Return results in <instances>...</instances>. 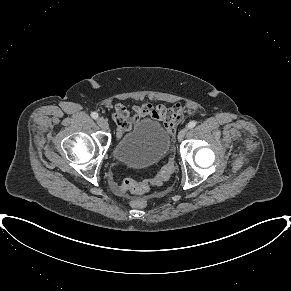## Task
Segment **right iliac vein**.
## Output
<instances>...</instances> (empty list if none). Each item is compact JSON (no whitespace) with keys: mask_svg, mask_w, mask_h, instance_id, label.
<instances>
[{"mask_svg":"<svg viewBox=\"0 0 291 291\" xmlns=\"http://www.w3.org/2000/svg\"><path fill=\"white\" fill-rule=\"evenodd\" d=\"M97 124L102 128V129H107L108 128V122L106 119L103 117L98 118Z\"/></svg>","mask_w":291,"mask_h":291,"instance_id":"right-iliac-vein-1","label":"right iliac vein"}]
</instances>
